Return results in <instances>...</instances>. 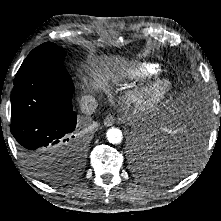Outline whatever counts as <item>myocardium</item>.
<instances>
[{"label":"myocardium","mask_w":221,"mask_h":221,"mask_svg":"<svg viewBox=\"0 0 221 221\" xmlns=\"http://www.w3.org/2000/svg\"><path fill=\"white\" fill-rule=\"evenodd\" d=\"M173 82L167 77H157L145 88L132 92L128 104L141 112H153L159 109L170 97Z\"/></svg>","instance_id":"obj_1"}]
</instances>
